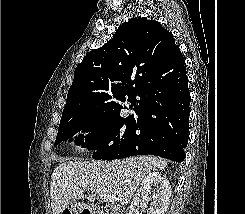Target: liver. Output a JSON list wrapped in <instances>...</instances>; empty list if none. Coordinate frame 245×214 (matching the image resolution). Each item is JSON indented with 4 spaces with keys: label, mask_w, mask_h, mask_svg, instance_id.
Listing matches in <instances>:
<instances>
[{
    "label": "liver",
    "mask_w": 245,
    "mask_h": 214,
    "mask_svg": "<svg viewBox=\"0 0 245 214\" xmlns=\"http://www.w3.org/2000/svg\"><path fill=\"white\" fill-rule=\"evenodd\" d=\"M166 161L154 156H136L109 162L64 161L50 181L53 214H61L75 200L85 197L93 203L96 195H116L121 205L129 203L144 178L166 167ZM80 183L86 188H81Z\"/></svg>",
    "instance_id": "1"
}]
</instances>
